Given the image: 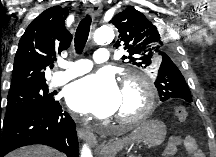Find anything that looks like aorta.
I'll return each instance as SVG.
<instances>
[{"mask_svg":"<svg viewBox=\"0 0 216 157\" xmlns=\"http://www.w3.org/2000/svg\"><path fill=\"white\" fill-rule=\"evenodd\" d=\"M114 38V30L112 26H101L94 33V40L98 44H103L112 41ZM115 150H110L105 153V156L113 157ZM81 157H92L91 150L84 145L81 151Z\"/></svg>","mask_w":216,"mask_h":157,"instance_id":"762f6f07","label":"aorta"}]
</instances>
